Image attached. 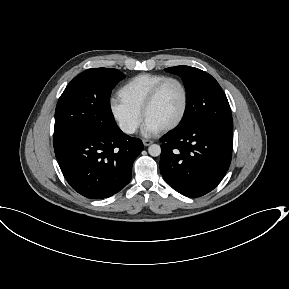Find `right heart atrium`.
<instances>
[{
  "mask_svg": "<svg viewBox=\"0 0 289 289\" xmlns=\"http://www.w3.org/2000/svg\"><path fill=\"white\" fill-rule=\"evenodd\" d=\"M110 112L121 131L125 134L131 135L135 133L141 123V114L118 100H111Z\"/></svg>",
  "mask_w": 289,
  "mask_h": 289,
  "instance_id": "1",
  "label": "right heart atrium"
}]
</instances>
